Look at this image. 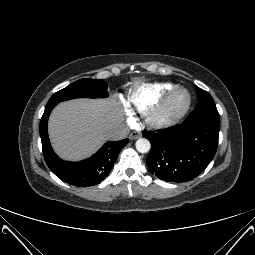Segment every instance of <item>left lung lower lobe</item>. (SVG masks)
Listing matches in <instances>:
<instances>
[{"instance_id": "1", "label": "left lung lower lobe", "mask_w": 255, "mask_h": 255, "mask_svg": "<svg viewBox=\"0 0 255 255\" xmlns=\"http://www.w3.org/2000/svg\"><path fill=\"white\" fill-rule=\"evenodd\" d=\"M220 120L187 121L145 137L152 144L147 166L152 174L168 182L197 177L213 159L218 145Z\"/></svg>"}]
</instances>
